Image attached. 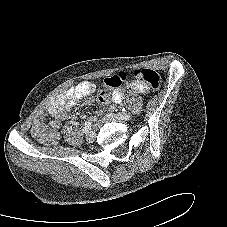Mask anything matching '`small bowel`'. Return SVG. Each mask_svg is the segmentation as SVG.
<instances>
[{
  "label": "small bowel",
  "instance_id": "small-bowel-1",
  "mask_svg": "<svg viewBox=\"0 0 227 227\" xmlns=\"http://www.w3.org/2000/svg\"><path fill=\"white\" fill-rule=\"evenodd\" d=\"M95 90L96 85L93 82L83 81L51 98L45 108L39 110L35 115L32 124V133L34 135L38 133L48 134V139L54 138L56 136L55 131L60 127V121L70 118L68 111L75 106L78 100L93 93ZM128 90L145 94L148 92V87L139 80H130L124 86L118 87L113 91L112 101L114 103H120ZM47 114L54 118L50 122V131H47L43 125Z\"/></svg>",
  "mask_w": 227,
  "mask_h": 227
}]
</instances>
